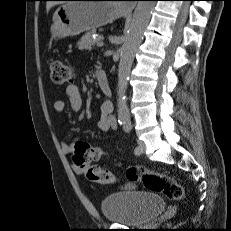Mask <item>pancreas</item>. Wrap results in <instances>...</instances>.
<instances>
[{
  "instance_id": "pancreas-1",
  "label": "pancreas",
  "mask_w": 231,
  "mask_h": 231,
  "mask_svg": "<svg viewBox=\"0 0 231 231\" xmlns=\"http://www.w3.org/2000/svg\"><path fill=\"white\" fill-rule=\"evenodd\" d=\"M95 32L94 31H91V32H87L85 33L81 40L77 43L78 45V48L80 50H91L92 49V46H94V44H97V42H99L101 40V37L100 35L98 34L96 36V38L94 39L92 37V35L94 34Z\"/></svg>"
}]
</instances>
